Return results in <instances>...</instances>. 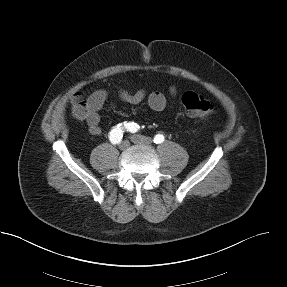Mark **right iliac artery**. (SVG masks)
<instances>
[{"label":"right iliac artery","instance_id":"obj_1","mask_svg":"<svg viewBox=\"0 0 287 287\" xmlns=\"http://www.w3.org/2000/svg\"><path fill=\"white\" fill-rule=\"evenodd\" d=\"M124 126H125V128L127 127L126 122H124ZM123 129H124V127L122 126V124H118L117 126L113 127V129L109 133V139H110L111 143H113V144L120 143V141L122 140V137H123V133H124Z\"/></svg>","mask_w":287,"mask_h":287}]
</instances>
